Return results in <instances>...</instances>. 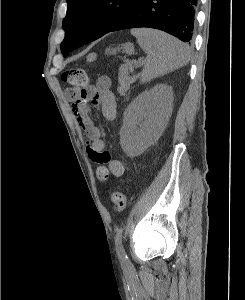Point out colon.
Here are the masks:
<instances>
[{"instance_id": "obj_1", "label": "colon", "mask_w": 245, "mask_h": 300, "mask_svg": "<svg viewBox=\"0 0 245 300\" xmlns=\"http://www.w3.org/2000/svg\"><path fill=\"white\" fill-rule=\"evenodd\" d=\"M62 80L68 83L70 86L65 90V96L70 102H76L80 98V95L85 90L89 76L87 72L82 68H70L62 75ZM111 200L114 210L121 212L126 207V198L120 191L110 192Z\"/></svg>"}]
</instances>
